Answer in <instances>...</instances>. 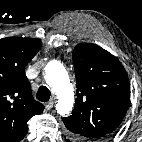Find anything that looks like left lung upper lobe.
Segmentation results:
<instances>
[{
	"mask_svg": "<svg viewBox=\"0 0 142 142\" xmlns=\"http://www.w3.org/2000/svg\"><path fill=\"white\" fill-rule=\"evenodd\" d=\"M73 60L77 98L72 115L63 118L68 137L102 142L115 134L127 112V73L115 56L91 43L76 45Z\"/></svg>",
	"mask_w": 142,
	"mask_h": 142,
	"instance_id": "left-lung-upper-lobe-1",
	"label": "left lung upper lobe"
}]
</instances>
